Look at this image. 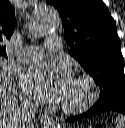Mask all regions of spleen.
<instances>
[{
    "label": "spleen",
    "instance_id": "3e777b00",
    "mask_svg": "<svg viewBox=\"0 0 125 128\" xmlns=\"http://www.w3.org/2000/svg\"><path fill=\"white\" fill-rule=\"evenodd\" d=\"M115 128H125V115H119L117 117Z\"/></svg>",
    "mask_w": 125,
    "mask_h": 128
}]
</instances>
